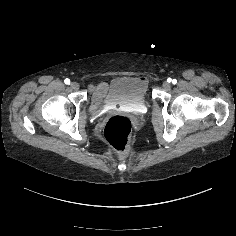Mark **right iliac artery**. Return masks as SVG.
<instances>
[{"instance_id":"obj_1","label":"right iliac artery","mask_w":236,"mask_h":236,"mask_svg":"<svg viewBox=\"0 0 236 236\" xmlns=\"http://www.w3.org/2000/svg\"><path fill=\"white\" fill-rule=\"evenodd\" d=\"M64 82H65V84H67V85L70 84V80H69L68 78H66V79L64 80Z\"/></svg>"}]
</instances>
